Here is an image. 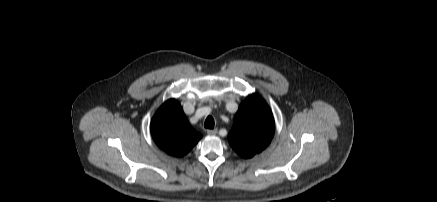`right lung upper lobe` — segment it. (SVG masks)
Segmentation results:
<instances>
[{
    "label": "right lung upper lobe",
    "mask_w": 437,
    "mask_h": 202,
    "mask_svg": "<svg viewBox=\"0 0 437 202\" xmlns=\"http://www.w3.org/2000/svg\"><path fill=\"white\" fill-rule=\"evenodd\" d=\"M150 131L157 146L175 157L187 154L202 137L190 125L175 99H169L157 110Z\"/></svg>",
    "instance_id": "cb5924a9"
}]
</instances>
